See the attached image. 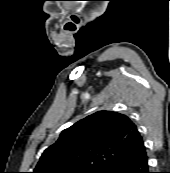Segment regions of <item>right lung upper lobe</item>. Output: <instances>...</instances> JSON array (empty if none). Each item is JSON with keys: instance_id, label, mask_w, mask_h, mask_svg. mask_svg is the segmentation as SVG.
Wrapping results in <instances>:
<instances>
[{"instance_id": "obj_1", "label": "right lung upper lobe", "mask_w": 170, "mask_h": 173, "mask_svg": "<svg viewBox=\"0 0 170 173\" xmlns=\"http://www.w3.org/2000/svg\"><path fill=\"white\" fill-rule=\"evenodd\" d=\"M144 147L136 125L124 114L96 112L65 129L33 173L105 170Z\"/></svg>"}]
</instances>
